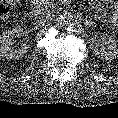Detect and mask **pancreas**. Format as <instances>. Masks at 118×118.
I'll use <instances>...</instances> for the list:
<instances>
[{"label":"pancreas","mask_w":118,"mask_h":118,"mask_svg":"<svg viewBox=\"0 0 118 118\" xmlns=\"http://www.w3.org/2000/svg\"><path fill=\"white\" fill-rule=\"evenodd\" d=\"M36 7L41 9L44 13H48L54 7L53 4L49 3V0H34ZM85 9L88 14L96 20L97 23L101 24L103 27L108 28L112 24L113 15L109 11L103 10L96 3L88 0L84 4Z\"/></svg>","instance_id":"pancreas-1"}]
</instances>
